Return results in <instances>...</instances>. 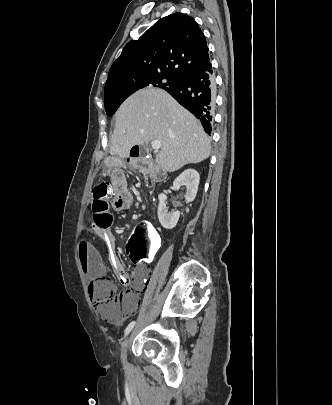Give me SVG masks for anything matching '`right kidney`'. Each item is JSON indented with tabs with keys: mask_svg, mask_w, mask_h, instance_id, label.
Masks as SVG:
<instances>
[{
	"mask_svg": "<svg viewBox=\"0 0 332 405\" xmlns=\"http://www.w3.org/2000/svg\"><path fill=\"white\" fill-rule=\"evenodd\" d=\"M200 176L199 173L194 169H187L183 171L173 182V187L175 190H179L182 185L186 186L185 199L187 202H192L198 191ZM159 206H158V219L163 228L167 230L173 229L180 218V213L178 211L168 212L166 207V195L161 193L158 196Z\"/></svg>",
	"mask_w": 332,
	"mask_h": 405,
	"instance_id": "right-kidney-1",
	"label": "right kidney"
}]
</instances>
